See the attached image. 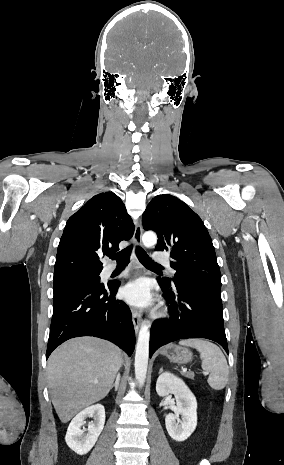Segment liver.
I'll list each match as a JSON object with an SVG mask.
<instances>
[{"label": "liver", "mask_w": 284, "mask_h": 465, "mask_svg": "<svg viewBox=\"0 0 284 465\" xmlns=\"http://www.w3.org/2000/svg\"><path fill=\"white\" fill-rule=\"evenodd\" d=\"M121 351L93 337L71 339L48 359V387L62 423L104 399L121 367Z\"/></svg>", "instance_id": "1"}]
</instances>
